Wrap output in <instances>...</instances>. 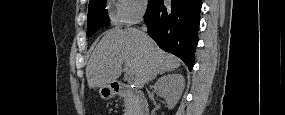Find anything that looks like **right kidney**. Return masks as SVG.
<instances>
[{
	"label": "right kidney",
	"instance_id": "obj_1",
	"mask_svg": "<svg viewBox=\"0 0 285 115\" xmlns=\"http://www.w3.org/2000/svg\"><path fill=\"white\" fill-rule=\"evenodd\" d=\"M184 87L185 79L181 74H168L156 82L154 90L166 100L168 108L172 109L179 101Z\"/></svg>",
	"mask_w": 285,
	"mask_h": 115
}]
</instances>
